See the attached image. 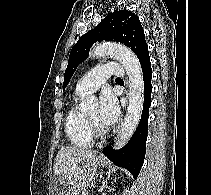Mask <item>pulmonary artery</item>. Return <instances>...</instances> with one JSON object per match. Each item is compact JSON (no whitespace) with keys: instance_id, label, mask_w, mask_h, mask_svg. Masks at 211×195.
<instances>
[{"instance_id":"1","label":"pulmonary artery","mask_w":211,"mask_h":195,"mask_svg":"<svg viewBox=\"0 0 211 195\" xmlns=\"http://www.w3.org/2000/svg\"><path fill=\"white\" fill-rule=\"evenodd\" d=\"M123 73V68L119 63H108L95 67L77 82L76 92L79 94L92 93L111 75L123 76Z\"/></svg>"}]
</instances>
